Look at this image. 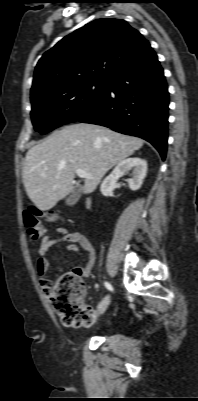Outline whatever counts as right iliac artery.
I'll return each instance as SVG.
<instances>
[{
  "instance_id": "right-iliac-artery-1",
  "label": "right iliac artery",
  "mask_w": 198,
  "mask_h": 401,
  "mask_svg": "<svg viewBox=\"0 0 198 401\" xmlns=\"http://www.w3.org/2000/svg\"><path fill=\"white\" fill-rule=\"evenodd\" d=\"M104 285H105V287H106L108 290L113 291V287H112V285H111L110 283L104 282ZM106 300H107V298H105V299L103 300V302H105Z\"/></svg>"
}]
</instances>
